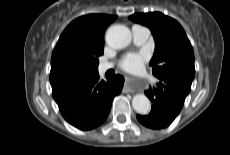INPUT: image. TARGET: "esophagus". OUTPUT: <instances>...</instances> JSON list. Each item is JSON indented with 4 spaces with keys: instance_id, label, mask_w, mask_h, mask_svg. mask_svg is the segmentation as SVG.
I'll return each mask as SVG.
<instances>
[{
    "instance_id": "1",
    "label": "esophagus",
    "mask_w": 230,
    "mask_h": 155,
    "mask_svg": "<svg viewBox=\"0 0 230 155\" xmlns=\"http://www.w3.org/2000/svg\"><path fill=\"white\" fill-rule=\"evenodd\" d=\"M132 82H133V78L131 76H125V86H124V88L128 92H131L133 90L132 87H131Z\"/></svg>"
}]
</instances>
